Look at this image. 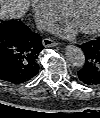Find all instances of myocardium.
<instances>
[{
  "label": "myocardium",
  "mask_w": 100,
  "mask_h": 118,
  "mask_svg": "<svg viewBox=\"0 0 100 118\" xmlns=\"http://www.w3.org/2000/svg\"><path fill=\"white\" fill-rule=\"evenodd\" d=\"M88 0H77L74 2L65 12L66 18L71 19L72 16L82 7L86 4ZM100 30V7L98 11V17L96 20V23L93 27L87 29V30H82L81 33L83 35L89 36V35H94Z\"/></svg>",
  "instance_id": "myocardium-1"
}]
</instances>
